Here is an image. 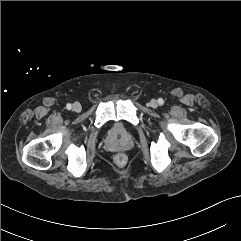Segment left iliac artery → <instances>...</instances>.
<instances>
[{
    "mask_svg": "<svg viewBox=\"0 0 241 241\" xmlns=\"http://www.w3.org/2000/svg\"><path fill=\"white\" fill-rule=\"evenodd\" d=\"M158 103H159L160 105H163V104H164V100H163L162 98H159V99H158Z\"/></svg>",
    "mask_w": 241,
    "mask_h": 241,
    "instance_id": "left-iliac-artery-1",
    "label": "left iliac artery"
}]
</instances>
